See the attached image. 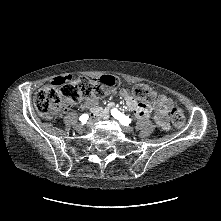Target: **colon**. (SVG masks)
Instances as JSON below:
<instances>
[{"label":"colon","instance_id":"colon-1","mask_svg":"<svg viewBox=\"0 0 221 221\" xmlns=\"http://www.w3.org/2000/svg\"><path fill=\"white\" fill-rule=\"evenodd\" d=\"M119 85L118 78L106 75L90 79L81 77L78 79H60L41 88L35 96L34 104L37 112L45 119L57 116L61 108L67 103H75L82 98L91 96L102 97L113 92ZM133 95L147 102H155V92L145 84H137L132 88ZM172 123L176 128H182L185 124V116L182 110L174 104L170 106Z\"/></svg>","mask_w":221,"mask_h":221}]
</instances>
